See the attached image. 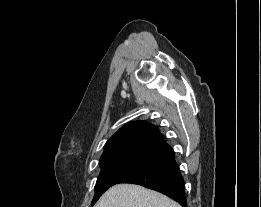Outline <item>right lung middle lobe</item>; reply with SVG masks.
<instances>
[{"label": "right lung middle lobe", "mask_w": 261, "mask_h": 207, "mask_svg": "<svg viewBox=\"0 0 261 207\" xmlns=\"http://www.w3.org/2000/svg\"><path fill=\"white\" fill-rule=\"evenodd\" d=\"M159 164L155 160L124 159L101 164V172L95 186V196L92 205L111 186L124 183L128 179L143 173Z\"/></svg>", "instance_id": "obj_1"}]
</instances>
